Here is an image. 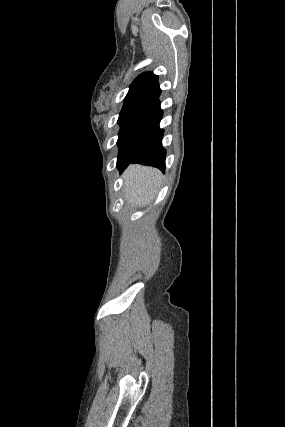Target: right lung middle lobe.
<instances>
[{"mask_svg": "<svg viewBox=\"0 0 285 427\" xmlns=\"http://www.w3.org/2000/svg\"><path fill=\"white\" fill-rule=\"evenodd\" d=\"M146 117V115H141L118 120L121 128L117 141L119 146L117 167H122L129 163L142 144L143 126Z\"/></svg>", "mask_w": 285, "mask_h": 427, "instance_id": "dd1d6c3e", "label": "right lung middle lobe"}]
</instances>
